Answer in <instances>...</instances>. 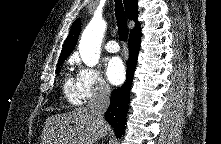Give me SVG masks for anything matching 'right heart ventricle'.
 <instances>
[{
    "label": "right heart ventricle",
    "instance_id": "e07e8e85",
    "mask_svg": "<svg viewBox=\"0 0 221 144\" xmlns=\"http://www.w3.org/2000/svg\"><path fill=\"white\" fill-rule=\"evenodd\" d=\"M63 94H64L65 99L71 105H78L81 102L79 95H78L76 83L73 81L70 75H67L65 77V80L63 83Z\"/></svg>",
    "mask_w": 221,
    "mask_h": 144
}]
</instances>
